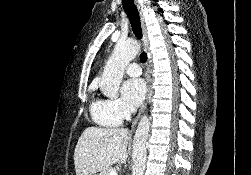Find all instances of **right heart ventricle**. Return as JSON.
Returning <instances> with one entry per match:
<instances>
[{
    "label": "right heart ventricle",
    "mask_w": 251,
    "mask_h": 175,
    "mask_svg": "<svg viewBox=\"0 0 251 175\" xmlns=\"http://www.w3.org/2000/svg\"><path fill=\"white\" fill-rule=\"evenodd\" d=\"M90 113L93 119L102 126L114 128L119 124L109 115L106 101L93 100L90 104Z\"/></svg>",
    "instance_id": "1"
}]
</instances>
